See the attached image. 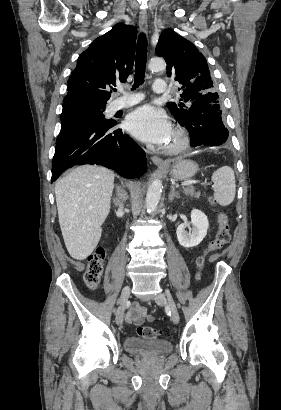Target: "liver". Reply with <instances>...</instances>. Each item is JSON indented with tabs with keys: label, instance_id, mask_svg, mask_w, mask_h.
Returning <instances> with one entry per match:
<instances>
[{
	"label": "liver",
	"instance_id": "6515ba94",
	"mask_svg": "<svg viewBox=\"0 0 281 410\" xmlns=\"http://www.w3.org/2000/svg\"><path fill=\"white\" fill-rule=\"evenodd\" d=\"M114 178L107 168L83 165L55 184L63 239L76 260L86 259L98 245L101 226L110 212Z\"/></svg>",
	"mask_w": 281,
	"mask_h": 410
}]
</instances>
